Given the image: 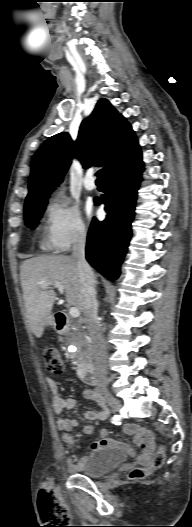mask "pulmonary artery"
<instances>
[{"instance_id": "pulmonary-artery-1", "label": "pulmonary artery", "mask_w": 192, "mask_h": 527, "mask_svg": "<svg viewBox=\"0 0 192 527\" xmlns=\"http://www.w3.org/2000/svg\"><path fill=\"white\" fill-rule=\"evenodd\" d=\"M83 186L85 187V189L87 190H94L96 188V184H95V181L93 179V176H92V172L89 171L84 179H83Z\"/></svg>"}]
</instances>
